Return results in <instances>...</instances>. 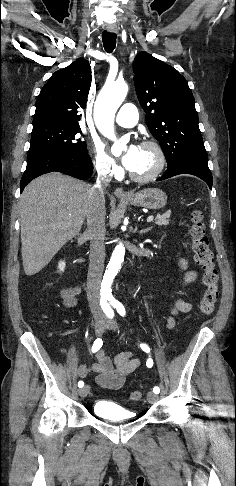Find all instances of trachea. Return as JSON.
<instances>
[{
	"instance_id": "obj_1",
	"label": "trachea",
	"mask_w": 236,
	"mask_h": 486,
	"mask_svg": "<svg viewBox=\"0 0 236 486\" xmlns=\"http://www.w3.org/2000/svg\"><path fill=\"white\" fill-rule=\"evenodd\" d=\"M117 35L112 32L104 31L102 33L103 46L106 52L111 53L116 46Z\"/></svg>"
}]
</instances>
